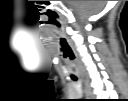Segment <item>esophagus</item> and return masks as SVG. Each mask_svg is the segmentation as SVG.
Here are the masks:
<instances>
[{
    "mask_svg": "<svg viewBox=\"0 0 128 101\" xmlns=\"http://www.w3.org/2000/svg\"><path fill=\"white\" fill-rule=\"evenodd\" d=\"M84 86H85V96H86V98H92L93 97V93H92V91H91V89L88 86L86 81H84Z\"/></svg>",
    "mask_w": 128,
    "mask_h": 101,
    "instance_id": "34e87169",
    "label": "esophagus"
}]
</instances>
